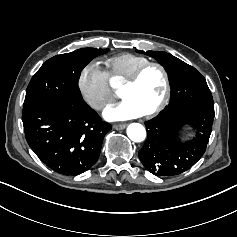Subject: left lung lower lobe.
Returning a JSON list of instances; mask_svg holds the SVG:
<instances>
[{
  "instance_id": "obj_1",
  "label": "left lung lower lobe",
  "mask_w": 237,
  "mask_h": 237,
  "mask_svg": "<svg viewBox=\"0 0 237 237\" xmlns=\"http://www.w3.org/2000/svg\"><path fill=\"white\" fill-rule=\"evenodd\" d=\"M165 115L168 116V118L170 119L179 121L198 120L202 123H205L208 128H212V123L214 119V105L200 104L177 107L166 112ZM197 161L198 160H184L181 162L186 163L192 167Z\"/></svg>"
}]
</instances>
